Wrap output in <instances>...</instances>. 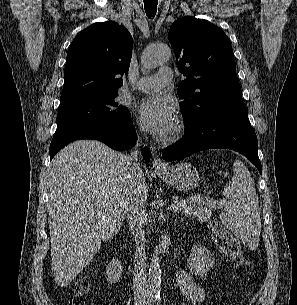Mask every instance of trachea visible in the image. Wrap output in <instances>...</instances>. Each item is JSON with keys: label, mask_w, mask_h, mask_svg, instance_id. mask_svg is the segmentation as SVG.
<instances>
[{"label": "trachea", "mask_w": 297, "mask_h": 305, "mask_svg": "<svg viewBox=\"0 0 297 305\" xmlns=\"http://www.w3.org/2000/svg\"><path fill=\"white\" fill-rule=\"evenodd\" d=\"M158 0H144L146 15L151 18L156 15Z\"/></svg>", "instance_id": "1"}]
</instances>
